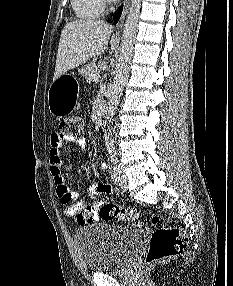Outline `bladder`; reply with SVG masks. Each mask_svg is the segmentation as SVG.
<instances>
[{
	"mask_svg": "<svg viewBox=\"0 0 233 286\" xmlns=\"http://www.w3.org/2000/svg\"><path fill=\"white\" fill-rule=\"evenodd\" d=\"M142 224L112 226L96 223L77 229L75 240L91 272L125 268L145 236Z\"/></svg>",
	"mask_w": 233,
	"mask_h": 286,
	"instance_id": "1",
	"label": "bladder"
}]
</instances>
